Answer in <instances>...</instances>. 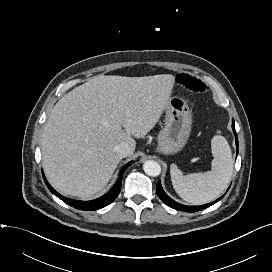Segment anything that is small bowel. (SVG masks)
I'll list each match as a JSON object with an SVG mask.
<instances>
[{"instance_id": "obj_1", "label": "small bowel", "mask_w": 272, "mask_h": 272, "mask_svg": "<svg viewBox=\"0 0 272 272\" xmlns=\"http://www.w3.org/2000/svg\"><path fill=\"white\" fill-rule=\"evenodd\" d=\"M173 81L177 86L194 94H205L208 91L207 85L202 80L189 74L179 73Z\"/></svg>"}]
</instances>
